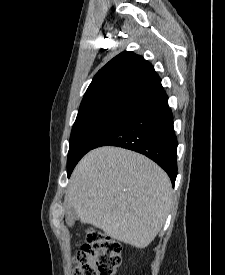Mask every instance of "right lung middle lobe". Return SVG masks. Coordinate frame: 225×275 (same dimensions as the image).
<instances>
[{
    "label": "right lung middle lobe",
    "instance_id": "dd1d6c3e",
    "mask_svg": "<svg viewBox=\"0 0 225 275\" xmlns=\"http://www.w3.org/2000/svg\"><path fill=\"white\" fill-rule=\"evenodd\" d=\"M127 115L117 112L99 113L75 121L67 158L68 177L77 162Z\"/></svg>",
    "mask_w": 225,
    "mask_h": 275
}]
</instances>
